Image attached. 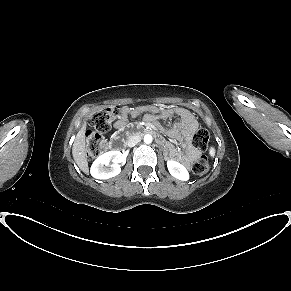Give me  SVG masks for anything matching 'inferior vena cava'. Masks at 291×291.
Masks as SVG:
<instances>
[{"label":"inferior vena cava","instance_id":"1","mask_svg":"<svg viewBox=\"0 0 291 291\" xmlns=\"http://www.w3.org/2000/svg\"><path fill=\"white\" fill-rule=\"evenodd\" d=\"M140 141H141V137L140 136H138V135L131 136L129 141H128V146L129 147H133Z\"/></svg>","mask_w":291,"mask_h":291}]
</instances>
